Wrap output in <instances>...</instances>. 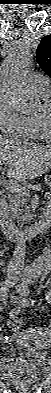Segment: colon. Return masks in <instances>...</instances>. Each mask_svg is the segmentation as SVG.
I'll list each match as a JSON object with an SVG mask.
<instances>
[{
    "label": "colon",
    "instance_id": "5ec220e1",
    "mask_svg": "<svg viewBox=\"0 0 51 393\" xmlns=\"http://www.w3.org/2000/svg\"><path fill=\"white\" fill-rule=\"evenodd\" d=\"M8 325L12 330H20L23 327V320L17 314H14L9 317ZM35 329L39 331L31 330L30 333L42 334V331L40 329Z\"/></svg>",
    "mask_w": 51,
    "mask_h": 393
}]
</instances>
